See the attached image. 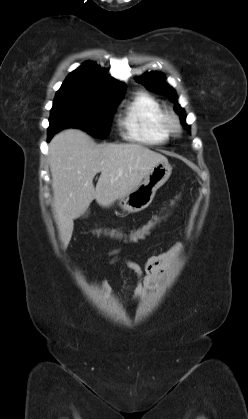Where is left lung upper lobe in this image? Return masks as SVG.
Listing matches in <instances>:
<instances>
[{
    "instance_id": "obj_1",
    "label": "left lung upper lobe",
    "mask_w": 248,
    "mask_h": 419,
    "mask_svg": "<svg viewBox=\"0 0 248 419\" xmlns=\"http://www.w3.org/2000/svg\"><path fill=\"white\" fill-rule=\"evenodd\" d=\"M137 81L151 90L168 96L175 104V111L180 116L181 123L185 129L190 132V127L185 123L186 114L184 110L179 106L177 102V95L174 89L168 83H166L163 74L157 72L145 73L142 75V77L137 78Z\"/></svg>"
}]
</instances>
